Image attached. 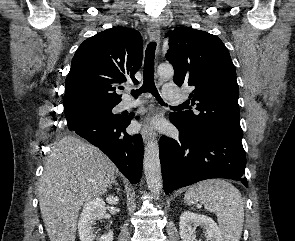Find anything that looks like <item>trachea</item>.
Here are the masks:
<instances>
[{
	"instance_id": "1",
	"label": "trachea",
	"mask_w": 295,
	"mask_h": 241,
	"mask_svg": "<svg viewBox=\"0 0 295 241\" xmlns=\"http://www.w3.org/2000/svg\"><path fill=\"white\" fill-rule=\"evenodd\" d=\"M155 48L156 43H149L146 53H145V61H144V71H143V85L138 90H132L131 94L133 97L137 98L141 93H151L161 104H164L162 98L160 97L157 88L154 82V58H155Z\"/></svg>"
}]
</instances>
